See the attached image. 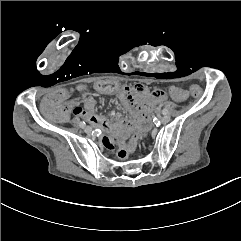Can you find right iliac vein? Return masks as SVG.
Wrapping results in <instances>:
<instances>
[{"instance_id": "63e3f726", "label": "right iliac vein", "mask_w": 241, "mask_h": 241, "mask_svg": "<svg viewBox=\"0 0 241 241\" xmlns=\"http://www.w3.org/2000/svg\"><path fill=\"white\" fill-rule=\"evenodd\" d=\"M84 131L88 134H90L92 132V128L90 126H86L84 127Z\"/></svg>"}]
</instances>
